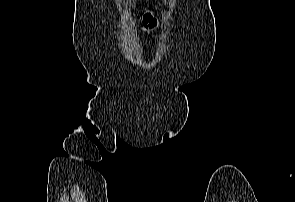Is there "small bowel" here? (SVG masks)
<instances>
[{
  "label": "small bowel",
  "instance_id": "obj_1",
  "mask_svg": "<svg viewBox=\"0 0 295 202\" xmlns=\"http://www.w3.org/2000/svg\"><path fill=\"white\" fill-rule=\"evenodd\" d=\"M158 24L157 19L154 16V13L152 10L146 11V13L143 16L142 19V27L146 30H151L155 28Z\"/></svg>",
  "mask_w": 295,
  "mask_h": 202
}]
</instances>
